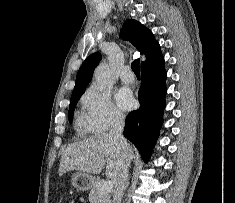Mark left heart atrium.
Returning <instances> with one entry per match:
<instances>
[{"mask_svg": "<svg viewBox=\"0 0 235 203\" xmlns=\"http://www.w3.org/2000/svg\"><path fill=\"white\" fill-rule=\"evenodd\" d=\"M116 101L123 110H130L135 105V100L129 90L122 89L116 94Z\"/></svg>", "mask_w": 235, "mask_h": 203, "instance_id": "39dd6f15", "label": "left heart atrium"}]
</instances>
